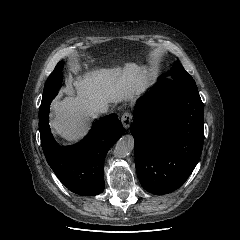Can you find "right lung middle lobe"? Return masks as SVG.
Segmentation results:
<instances>
[{
    "label": "right lung middle lobe",
    "mask_w": 240,
    "mask_h": 240,
    "mask_svg": "<svg viewBox=\"0 0 240 240\" xmlns=\"http://www.w3.org/2000/svg\"><path fill=\"white\" fill-rule=\"evenodd\" d=\"M62 68L63 62L60 61L45 83L41 106L39 108V115L43 114L47 109H49L52 99L58 93L62 81Z\"/></svg>",
    "instance_id": "obj_1"
}]
</instances>
